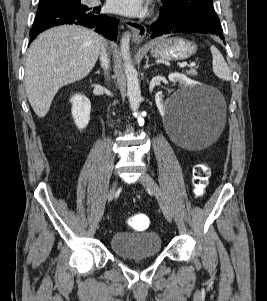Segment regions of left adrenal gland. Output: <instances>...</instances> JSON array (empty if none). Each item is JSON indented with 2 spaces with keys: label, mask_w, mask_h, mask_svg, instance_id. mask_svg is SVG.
<instances>
[{
  "label": "left adrenal gland",
  "mask_w": 267,
  "mask_h": 301,
  "mask_svg": "<svg viewBox=\"0 0 267 301\" xmlns=\"http://www.w3.org/2000/svg\"><path fill=\"white\" fill-rule=\"evenodd\" d=\"M148 62H149V58L146 57V64L144 65V69H148L150 66L153 65V64L149 65Z\"/></svg>",
  "instance_id": "1"
}]
</instances>
